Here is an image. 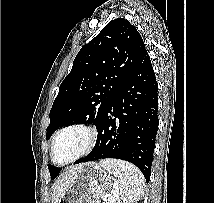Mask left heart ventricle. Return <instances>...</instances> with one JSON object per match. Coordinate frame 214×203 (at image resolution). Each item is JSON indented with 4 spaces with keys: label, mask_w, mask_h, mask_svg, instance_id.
Wrapping results in <instances>:
<instances>
[{
    "label": "left heart ventricle",
    "mask_w": 214,
    "mask_h": 203,
    "mask_svg": "<svg viewBox=\"0 0 214 203\" xmlns=\"http://www.w3.org/2000/svg\"><path fill=\"white\" fill-rule=\"evenodd\" d=\"M88 142V135L84 130L71 129L64 132L55 146V159L65 162L79 154Z\"/></svg>",
    "instance_id": "1"
}]
</instances>
